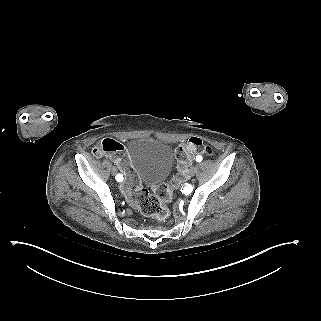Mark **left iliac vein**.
Segmentation results:
<instances>
[{
    "label": "left iliac vein",
    "instance_id": "obj_1",
    "mask_svg": "<svg viewBox=\"0 0 321 321\" xmlns=\"http://www.w3.org/2000/svg\"><path fill=\"white\" fill-rule=\"evenodd\" d=\"M196 172H197V168L194 166L189 169V174L191 176H194L196 174Z\"/></svg>",
    "mask_w": 321,
    "mask_h": 321
}]
</instances>
